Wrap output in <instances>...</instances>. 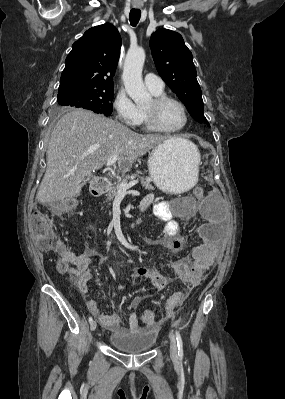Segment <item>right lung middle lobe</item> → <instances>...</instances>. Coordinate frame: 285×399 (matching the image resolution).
I'll list each match as a JSON object with an SVG mask.
<instances>
[{
  "mask_svg": "<svg viewBox=\"0 0 285 399\" xmlns=\"http://www.w3.org/2000/svg\"><path fill=\"white\" fill-rule=\"evenodd\" d=\"M113 97V89L74 90L59 93L57 101L60 106L80 107L109 116Z\"/></svg>",
  "mask_w": 285,
  "mask_h": 399,
  "instance_id": "1",
  "label": "right lung middle lobe"
}]
</instances>
